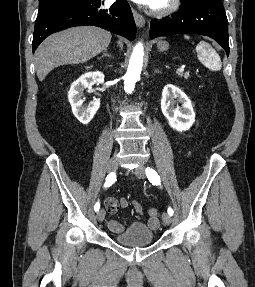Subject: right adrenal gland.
Masks as SVG:
<instances>
[{"mask_svg":"<svg viewBox=\"0 0 255 287\" xmlns=\"http://www.w3.org/2000/svg\"><path fill=\"white\" fill-rule=\"evenodd\" d=\"M104 56H108V58H111L110 54H107V50H105V52H103V56H100V58H97V60H102Z\"/></svg>","mask_w":255,"mask_h":287,"instance_id":"right-adrenal-gland-1","label":"right adrenal gland"}]
</instances>
